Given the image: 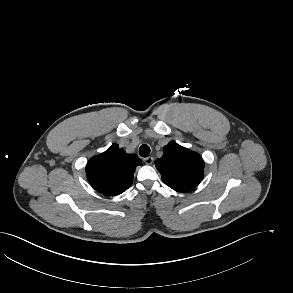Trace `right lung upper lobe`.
I'll return each instance as SVG.
<instances>
[{
    "label": "right lung upper lobe",
    "mask_w": 293,
    "mask_h": 293,
    "mask_svg": "<svg viewBox=\"0 0 293 293\" xmlns=\"http://www.w3.org/2000/svg\"><path fill=\"white\" fill-rule=\"evenodd\" d=\"M142 165L135 154H127L117 144L104 153L92 157L86 165L91 186L105 196H116L127 190L133 181V173Z\"/></svg>",
    "instance_id": "obj_1"
}]
</instances>
